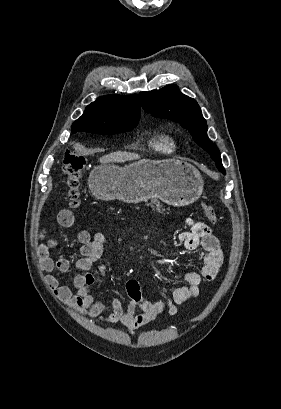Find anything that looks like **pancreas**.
I'll return each mask as SVG.
<instances>
[{"mask_svg":"<svg viewBox=\"0 0 281 409\" xmlns=\"http://www.w3.org/2000/svg\"><path fill=\"white\" fill-rule=\"evenodd\" d=\"M153 202H156L157 207H162V205H159V200H153ZM162 211H165V209H162Z\"/></svg>","mask_w":281,"mask_h":409,"instance_id":"pancreas-1","label":"pancreas"}]
</instances>
